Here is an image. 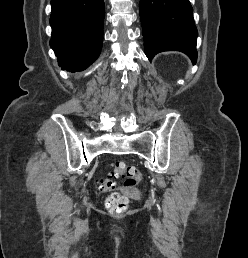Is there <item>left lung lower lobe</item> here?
<instances>
[{
    "mask_svg": "<svg viewBox=\"0 0 248 258\" xmlns=\"http://www.w3.org/2000/svg\"><path fill=\"white\" fill-rule=\"evenodd\" d=\"M145 53L149 60L162 51H180L197 60V28L189 0H141Z\"/></svg>",
    "mask_w": 248,
    "mask_h": 258,
    "instance_id": "obj_1",
    "label": "left lung lower lobe"
}]
</instances>
